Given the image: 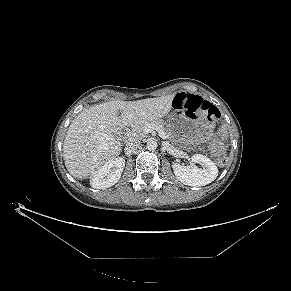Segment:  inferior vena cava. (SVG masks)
<instances>
[{
	"label": "inferior vena cava",
	"mask_w": 291,
	"mask_h": 291,
	"mask_svg": "<svg viewBox=\"0 0 291 291\" xmlns=\"http://www.w3.org/2000/svg\"><path fill=\"white\" fill-rule=\"evenodd\" d=\"M139 147H140V144L137 141L128 142L125 146L124 151L126 154H132L136 152L139 149Z\"/></svg>",
	"instance_id": "602c4592"
}]
</instances>
